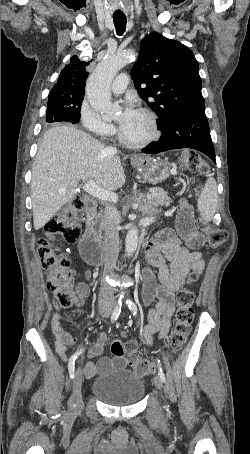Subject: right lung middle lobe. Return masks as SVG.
<instances>
[{
  "label": "right lung middle lobe",
  "instance_id": "1",
  "mask_svg": "<svg viewBox=\"0 0 250 454\" xmlns=\"http://www.w3.org/2000/svg\"><path fill=\"white\" fill-rule=\"evenodd\" d=\"M83 97L78 99H63L57 96L48 97V107L46 111V122L66 121L73 124L80 120V107Z\"/></svg>",
  "mask_w": 250,
  "mask_h": 454
}]
</instances>
